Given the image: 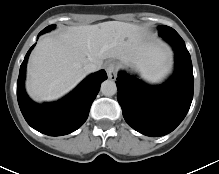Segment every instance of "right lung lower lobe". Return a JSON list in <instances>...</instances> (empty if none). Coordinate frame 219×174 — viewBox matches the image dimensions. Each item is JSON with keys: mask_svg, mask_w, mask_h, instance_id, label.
<instances>
[{"mask_svg": "<svg viewBox=\"0 0 219 174\" xmlns=\"http://www.w3.org/2000/svg\"><path fill=\"white\" fill-rule=\"evenodd\" d=\"M33 47L34 45L29 49L20 66L17 81L20 110L27 123L43 134L61 136L72 133L86 121L92 102L100 90L101 83L107 79V74L105 70H100L88 76L63 99L54 103L36 104L27 96L24 89L26 63Z\"/></svg>", "mask_w": 219, "mask_h": 174, "instance_id": "right-lung-lower-lobe-1", "label": "right lung lower lobe"}]
</instances>
